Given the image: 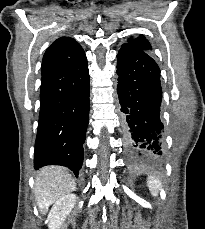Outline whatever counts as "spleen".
Masks as SVG:
<instances>
[{"mask_svg":"<svg viewBox=\"0 0 205 229\" xmlns=\"http://www.w3.org/2000/svg\"><path fill=\"white\" fill-rule=\"evenodd\" d=\"M147 186L153 196H157L160 188L162 187L159 179L154 176L148 177Z\"/></svg>","mask_w":205,"mask_h":229,"instance_id":"1","label":"spleen"}]
</instances>
